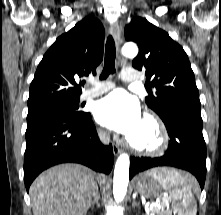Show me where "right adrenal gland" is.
I'll return each mask as SVG.
<instances>
[{
  "label": "right adrenal gland",
  "instance_id": "1",
  "mask_svg": "<svg viewBox=\"0 0 221 215\" xmlns=\"http://www.w3.org/2000/svg\"><path fill=\"white\" fill-rule=\"evenodd\" d=\"M99 199H100V194L98 192H96L94 200L91 203V207H93L95 204L99 207L100 206Z\"/></svg>",
  "mask_w": 221,
  "mask_h": 215
}]
</instances>
